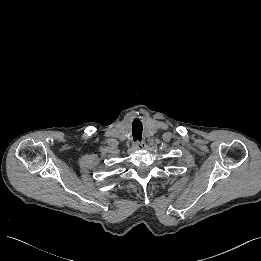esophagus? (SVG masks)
I'll use <instances>...</instances> for the list:
<instances>
[{"label":"esophagus","instance_id":"1","mask_svg":"<svg viewBox=\"0 0 261 261\" xmlns=\"http://www.w3.org/2000/svg\"><path fill=\"white\" fill-rule=\"evenodd\" d=\"M145 147H146L145 142H141L140 144L139 143L135 144L136 149H144Z\"/></svg>","mask_w":261,"mask_h":261}]
</instances>
